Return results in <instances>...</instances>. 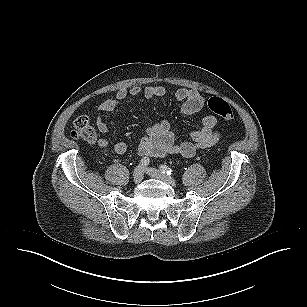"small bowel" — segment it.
Masks as SVG:
<instances>
[{
    "label": "small bowel",
    "mask_w": 307,
    "mask_h": 307,
    "mask_svg": "<svg viewBox=\"0 0 307 307\" xmlns=\"http://www.w3.org/2000/svg\"><path fill=\"white\" fill-rule=\"evenodd\" d=\"M143 95L146 99L161 98L166 95V90L162 86H148L142 88L133 86L129 89L121 88L117 91L115 98H110L98 106L97 128L106 134L109 131L103 116L117 109L120 103L129 97L136 98ZM174 97L182 103L181 112L184 116H191L206 108L205 98L196 90L180 88L175 91ZM218 120L214 115L207 114L202 118L199 129L190 133V140L175 143L174 134L165 120L153 123L148 129L147 134L141 139L138 145V154L142 158H161L167 154H176L182 157H192L197 151L215 145L220 138L218 132ZM97 146L107 153L109 143L106 139L97 140ZM113 150L117 154H124L127 151L125 142H116Z\"/></svg>",
    "instance_id": "obj_1"
}]
</instances>
